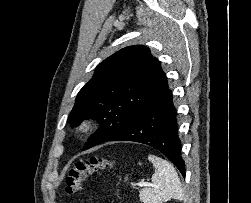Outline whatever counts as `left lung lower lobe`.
Returning <instances> with one entry per match:
<instances>
[{
  "mask_svg": "<svg viewBox=\"0 0 251 203\" xmlns=\"http://www.w3.org/2000/svg\"><path fill=\"white\" fill-rule=\"evenodd\" d=\"M176 116L172 92L165 80L157 96L109 141H134L154 147L185 177Z\"/></svg>",
  "mask_w": 251,
  "mask_h": 203,
  "instance_id": "1",
  "label": "left lung lower lobe"
}]
</instances>
